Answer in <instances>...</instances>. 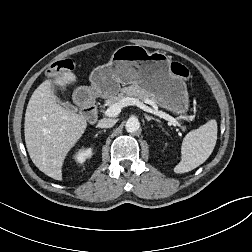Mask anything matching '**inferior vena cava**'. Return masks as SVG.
<instances>
[{
  "label": "inferior vena cava",
  "instance_id": "obj_1",
  "mask_svg": "<svg viewBox=\"0 0 252 252\" xmlns=\"http://www.w3.org/2000/svg\"><path fill=\"white\" fill-rule=\"evenodd\" d=\"M115 123H116L115 119L104 118L98 122L97 126L100 128H111L115 125Z\"/></svg>",
  "mask_w": 252,
  "mask_h": 252
}]
</instances>
